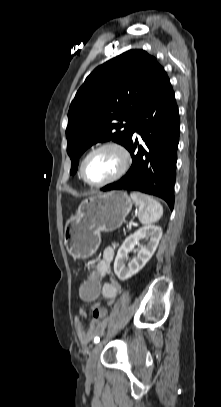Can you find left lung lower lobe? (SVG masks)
<instances>
[{"instance_id": "0a47b994", "label": "left lung lower lobe", "mask_w": 221, "mask_h": 407, "mask_svg": "<svg viewBox=\"0 0 221 407\" xmlns=\"http://www.w3.org/2000/svg\"><path fill=\"white\" fill-rule=\"evenodd\" d=\"M134 132L141 136L143 145L134 141ZM179 133L178 107L166 75L133 126L126 146L133 159L131 168L123 178L102 190L141 191L164 199L173 210Z\"/></svg>"}]
</instances>
